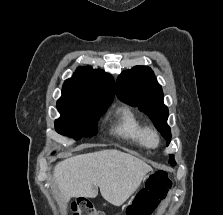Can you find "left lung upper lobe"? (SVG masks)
<instances>
[{"label": "left lung upper lobe", "mask_w": 223, "mask_h": 215, "mask_svg": "<svg viewBox=\"0 0 223 215\" xmlns=\"http://www.w3.org/2000/svg\"><path fill=\"white\" fill-rule=\"evenodd\" d=\"M117 96L132 106L138 107L149 116L161 135L171 141L170 127L167 125L168 108L163 103L161 85L148 66H135L121 73L117 79ZM169 163L175 165L174 156Z\"/></svg>", "instance_id": "1"}]
</instances>
